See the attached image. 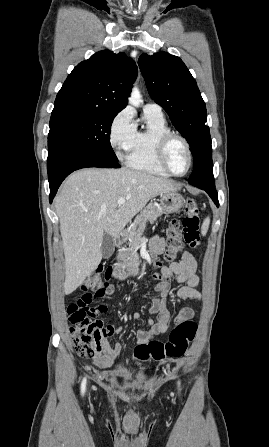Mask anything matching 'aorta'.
<instances>
[{"instance_id":"aorta-1","label":"aorta","mask_w":269,"mask_h":447,"mask_svg":"<svg viewBox=\"0 0 269 447\" xmlns=\"http://www.w3.org/2000/svg\"><path fill=\"white\" fill-rule=\"evenodd\" d=\"M129 104L134 106V108H139L141 104H143L142 96L138 90V88H133L131 98H128Z\"/></svg>"}]
</instances>
